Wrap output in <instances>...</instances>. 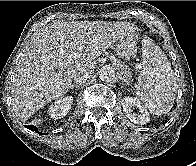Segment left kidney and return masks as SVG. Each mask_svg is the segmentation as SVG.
Returning <instances> with one entry per match:
<instances>
[{"label": "left kidney", "instance_id": "5707ae66", "mask_svg": "<svg viewBox=\"0 0 196 166\" xmlns=\"http://www.w3.org/2000/svg\"><path fill=\"white\" fill-rule=\"evenodd\" d=\"M123 112L131 122L138 125H144L150 121L147 109L140 104V101L134 97H126L121 101ZM137 107L139 113L133 112V108Z\"/></svg>", "mask_w": 196, "mask_h": 166}]
</instances>
